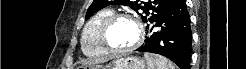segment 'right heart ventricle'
I'll list each match as a JSON object with an SVG mask.
<instances>
[{"mask_svg":"<svg viewBox=\"0 0 246 69\" xmlns=\"http://www.w3.org/2000/svg\"><path fill=\"white\" fill-rule=\"evenodd\" d=\"M114 12L110 8H104L88 20L82 32V50L90 57H101L107 54L100 42L99 31L104 20Z\"/></svg>","mask_w":246,"mask_h":69,"instance_id":"1","label":"right heart ventricle"}]
</instances>
